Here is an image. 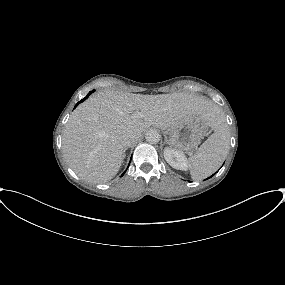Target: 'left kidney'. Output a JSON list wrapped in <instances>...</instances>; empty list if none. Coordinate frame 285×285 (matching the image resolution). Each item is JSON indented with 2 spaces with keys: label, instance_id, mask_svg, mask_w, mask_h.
<instances>
[{
  "label": "left kidney",
  "instance_id": "1",
  "mask_svg": "<svg viewBox=\"0 0 285 285\" xmlns=\"http://www.w3.org/2000/svg\"><path fill=\"white\" fill-rule=\"evenodd\" d=\"M164 158L167 163L178 170H186L188 167L187 159L185 155L177 150L172 148H165L164 150Z\"/></svg>",
  "mask_w": 285,
  "mask_h": 285
}]
</instances>
